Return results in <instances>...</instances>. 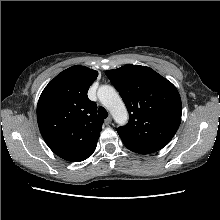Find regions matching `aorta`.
Returning <instances> with one entry per match:
<instances>
[{
    "label": "aorta",
    "mask_w": 220,
    "mask_h": 220,
    "mask_svg": "<svg viewBox=\"0 0 220 220\" xmlns=\"http://www.w3.org/2000/svg\"><path fill=\"white\" fill-rule=\"evenodd\" d=\"M100 102L110 111L119 125L128 121V112L118 92L110 85L99 87L97 92Z\"/></svg>",
    "instance_id": "762f6f07"
}]
</instances>
